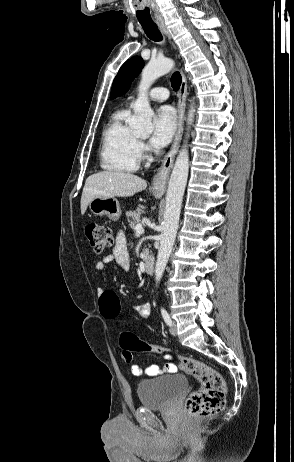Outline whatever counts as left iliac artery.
I'll list each match as a JSON object with an SVG mask.
<instances>
[{
  "instance_id": "left-iliac-artery-1",
  "label": "left iliac artery",
  "mask_w": 294,
  "mask_h": 462,
  "mask_svg": "<svg viewBox=\"0 0 294 462\" xmlns=\"http://www.w3.org/2000/svg\"><path fill=\"white\" fill-rule=\"evenodd\" d=\"M161 314H162V317H163L165 323H166L168 326H171V325H172L171 318H170L168 312H167L164 308L161 309Z\"/></svg>"
}]
</instances>
